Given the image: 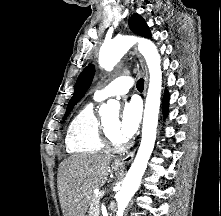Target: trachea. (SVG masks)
<instances>
[{"label":"trachea","instance_id":"3493384b","mask_svg":"<svg viewBox=\"0 0 221 216\" xmlns=\"http://www.w3.org/2000/svg\"><path fill=\"white\" fill-rule=\"evenodd\" d=\"M143 88H144V80L141 78V79H139L138 82H137V89H138L139 91H143Z\"/></svg>","mask_w":221,"mask_h":216}]
</instances>
